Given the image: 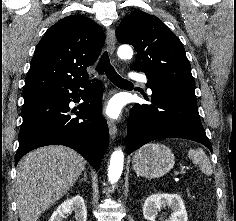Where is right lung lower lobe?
Listing matches in <instances>:
<instances>
[{"label":"right lung lower lobe","instance_id":"98d812e1","mask_svg":"<svg viewBox=\"0 0 236 221\" xmlns=\"http://www.w3.org/2000/svg\"><path fill=\"white\" fill-rule=\"evenodd\" d=\"M80 88H85L81 92ZM102 83L71 82L51 91L23 95V123L15 164L33 149L64 145L79 152L98 170L109 142L108 126L102 117ZM83 103L71 117L69 103ZM74 112V111H72Z\"/></svg>","mask_w":236,"mask_h":221}]
</instances>
